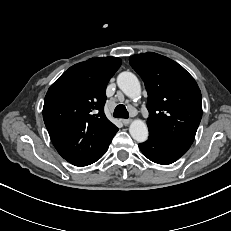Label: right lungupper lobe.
<instances>
[{
	"label": "right lung upper lobe",
	"instance_id": "right-lung-upper-lobe-1",
	"mask_svg": "<svg viewBox=\"0 0 231 231\" xmlns=\"http://www.w3.org/2000/svg\"><path fill=\"white\" fill-rule=\"evenodd\" d=\"M116 57L91 58L70 67L46 96L43 118L58 153L76 166H87L106 152L118 128L104 114L106 86L118 70Z\"/></svg>",
	"mask_w": 231,
	"mask_h": 231
}]
</instances>
